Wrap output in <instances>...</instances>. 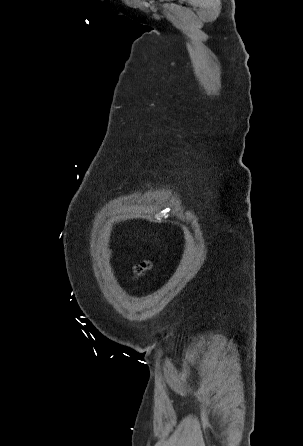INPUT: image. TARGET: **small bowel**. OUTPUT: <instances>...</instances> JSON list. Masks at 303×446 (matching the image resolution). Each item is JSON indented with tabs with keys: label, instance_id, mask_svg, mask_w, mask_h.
Masks as SVG:
<instances>
[{
	"label": "small bowel",
	"instance_id": "obj_1",
	"mask_svg": "<svg viewBox=\"0 0 303 446\" xmlns=\"http://www.w3.org/2000/svg\"><path fill=\"white\" fill-rule=\"evenodd\" d=\"M115 249H113V248H110V249H108L106 252H105V258L108 260V261H111L112 260V258H113V256H114V254H115Z\"/></svg>",
	"mask_w": 303,
	"mask_h": 446
}]
</instances>
